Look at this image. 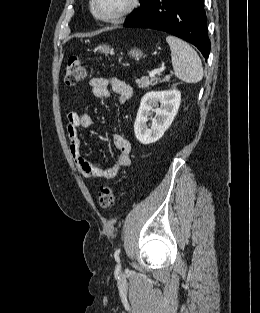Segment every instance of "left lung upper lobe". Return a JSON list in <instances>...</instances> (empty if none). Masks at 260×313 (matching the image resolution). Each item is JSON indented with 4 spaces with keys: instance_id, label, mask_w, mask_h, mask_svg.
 <instances>
[{
    "instance_id": "obj_1",
    "label": "left lung upper lobe",
    "mask_w": 260,
    "mask_h": 313,
    "mask_svg": "<svg viewBox=\"0 0 260 313\" xmlns=\"http://www.w3.org/2000/svg\"><path fill=\"white\" fill-rule=\"evenodd\" d=\"M140 1H141V6H140V8H139L138 10H136V11L130 13V14L127 16L126 20H129V19H131L132 17H134V16H135L136 14H138L141 10H143V9L147 6V4L150 2V0H140Z\"/></svg>"
}]
</instances>
